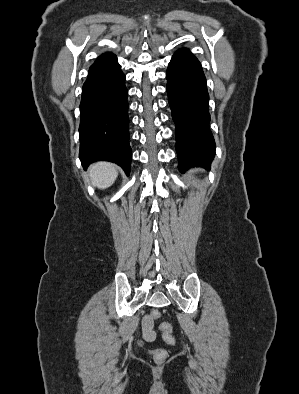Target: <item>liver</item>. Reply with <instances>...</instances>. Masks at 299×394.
Wrapping results in <instances>:
<instances>
[{
  "label": "liver",
  "mask_w": 299,
  "mask_h": 394,
  "mask_svg": "<svg viewBox=\"0 0 299 394\" xmlns=\"http://www.w3.org/2000/svg\"><path fill=\"white\" fill-rule=\"evenodd\" d=\"M89 173L92 184L99 189L110 187L118 175L116 166L107 162L93 164L89 169Z\"/></svg>",
  "instance_id": "liver-1"
}]
</instances>
